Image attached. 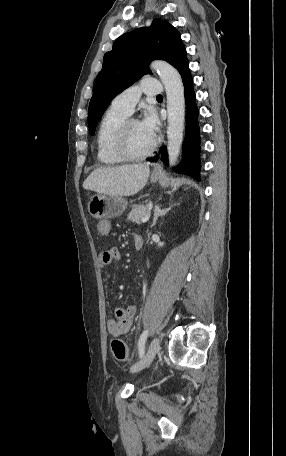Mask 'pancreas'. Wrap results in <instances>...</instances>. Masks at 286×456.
I'll list each match as a JSON object with an SVG mask.
<instances>
[{"mask_svg":"<svg viewBox=\"0 0 286 456\" xmlns=\"http://www.w3.org/2000/svg\"><path fill=\"white\" fill-rule=\"evenodd\" d=\"M148 211L149 207L147 205H133L127 219L135 223H140Z\"/></svg>","mask_w":286,"mask_h":456,"instance_id":"pancreas-1","label":"pancreas"}]
</instances>
